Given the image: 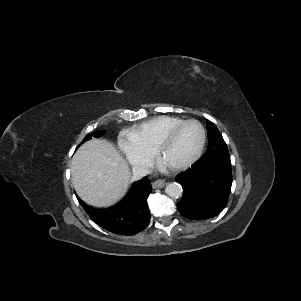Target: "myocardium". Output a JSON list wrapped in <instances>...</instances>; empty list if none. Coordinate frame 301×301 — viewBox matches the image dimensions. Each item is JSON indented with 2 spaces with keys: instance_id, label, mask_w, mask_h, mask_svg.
Wrapping results in <instances>:
<instances>
[{
  "instance_id": "myocardium-1",
  "label": "myocardium",
  "mask_w": 301,
  "mask_h": 301,
  "mask_svg": "<svg viewBox=\"0 0 301 301\" xmlns=\"http://www.w3.org/2000/svg\"><path fill=\"white\" fill-rule=\"evenodd\" d=\"M189 123H194V124L198 125L200 128V131H201V139H200V142H199L196 152L194 153V155L191 158H189L185 162H182V163L176 164V165H165L162 161V155H163L165 146L176 136V134L180 131L181 128H183L185 125H187ZM205 142H206V130H205L204 125L196 119H188V120H184L183 122L174 126L173 128H171L170 130H168L167 132H165L163 135L160 136V138L157 140V142L155 144L154 154H155L157 161L160 164L164 165L166 168H168L170 170H182V169L188 168L189 166L194 164L200 158V156L203 152L204 146H205Z\"/></svg>"
}]
</instances>
